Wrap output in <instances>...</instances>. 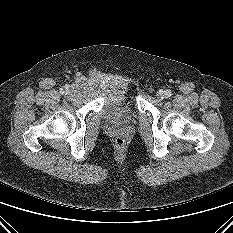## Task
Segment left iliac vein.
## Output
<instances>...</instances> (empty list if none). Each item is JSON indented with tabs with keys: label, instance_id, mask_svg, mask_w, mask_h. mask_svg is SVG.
Instances as JSON below:
<instances>
[{
	"label": "left iliac vein",
	"instance_id": "1",
	"mask_svg": "<svg viewBox=\"0 0 233 233\" xmlns=\"http://www.w3.org/2000/svg\"><path fill=\"white\" fill-rule=\"evenodd\" d=\"M165 91L164 90H159L158 92H157V98L158 99H160V100H162V99H164L165 98Z\"/></svg>",
	"mask_w": 233,
	"mask_h": 233
}]
</instances>
